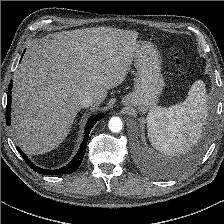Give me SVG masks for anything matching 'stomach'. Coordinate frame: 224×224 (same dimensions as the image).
I'll use <instances>...</instances> for the list:
<instances>
[{"instance_id": "0dacf381", "label": "stomach", "mask_w": 224, "mask_h": 224, "mask_svg": "<svg viewBox=\"0 0 224 224\" xmlns=\"http://www.w3.org/2000/svg\"><path fill=\"white\" fill-rule=\"evenodd\" d=\"M134 62L137 69L135 89L122 99V104L145 112L157 105L165 85L161 74V58L150 42L139 41Z\"/></svg>"}]
</instances>
